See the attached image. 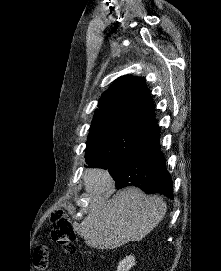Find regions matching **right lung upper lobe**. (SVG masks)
Wrapping results in <instances>:
<instances>
[{
  "label": "right lung upper lobe",
  "mask_w": 221,
  "mask_h": 271,
  "mask_svg": "<svg viewBox=\"0 0 221 271\" xmlns=\"http://www.w3.org/2000/svg\"><path fill=\"white\" fill-rule=\"evenodd\" d=\"M155 116V107L145 86V79L120 77L102 94L90 133L105 128L149 131L157 124Z\"/></svg>",
  "instance_id": "cb5924a9"
}]
</instances>
